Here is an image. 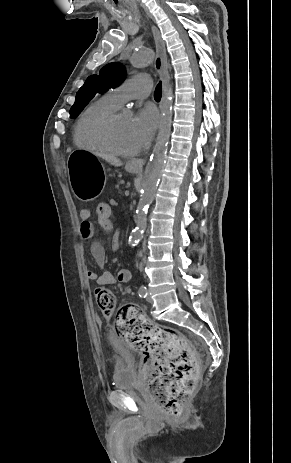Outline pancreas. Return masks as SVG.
Listing matches in <instances>:
<instances>
[{
  "instance_id": "obj_1",
  "label": "pancreas",
  "mask_w": 291,
  "mask_h": 463,
  "mask_svg": "<svg viewBox=\"0 0 291 463\" xmlns=\"http://www.w3.org/2000/svg\"><path fill=\"white\" fill-rule=\"evenodd\" d=\"M123 184L124 181L119 180L116 184L111 186V189L114 192V194H116L117 196L123 195Z\"/></svg>"
}]
</instances>
